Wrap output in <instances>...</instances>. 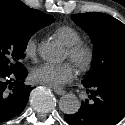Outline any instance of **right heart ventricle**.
<instances>
[{"mask_svg":"<svg viewBox=\"0 0 125 125\" xmlns=\"http://www.w3.org/2000/svg\"><path fill=\"white\" fill-rule=\"evenodd\" d=\"M56 35L66 46L73 45L81 40L79 32L70 26L58 27Z\"/></svg>","mask_w":125,"mask_h":125,"instance_id":"right-heart-ventricle-1","label":"right heart ventricle"}]
</instances>
